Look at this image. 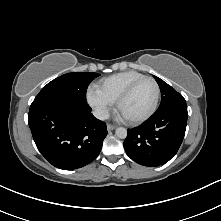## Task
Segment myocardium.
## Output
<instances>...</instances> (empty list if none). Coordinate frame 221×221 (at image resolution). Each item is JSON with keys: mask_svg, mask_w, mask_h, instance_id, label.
<instances>
[{"mask_svg": "<svg viewBox=\"0 0 221 221\" xmlns=\"http://www.w3.org/2000/svg\"><path fill=\"white\" fill-rule=\"evenodd\" d=\"M144 80H150L154 86H155V99L154 102L151 106V108L146 112L144 115L137 117V118H132V119H126V121L130 124H140L147 119H149L157 110L158 104H159V99H160V87L157 81L150 76H142L136 80H134L131 84L128 85V87L122 92V94L119 96L118 100L116 101V107L119 112H121V107L123 103L129 98L135 87L142 81Z\"/></svg>", "mask_w": 221, "mask_h": 221, "instance_id": "myocardium-1", "label": "myocardium"}]
</instances>
